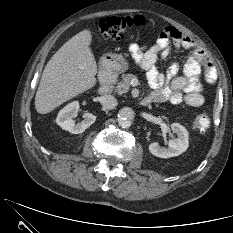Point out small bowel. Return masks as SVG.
<instances>
[{"instance_id": "obj_1", "label": "small bowel", "mask_w": 233, "mask_h": 233, "mask_svg": "<svg viewBox=\"0 0 233 233\" xmlns=\"http://www.w3.org/2000/svg\"><path fill=\"white\" fill-rule=\"evenodd\" d=\"M171 41L176 47L191 51L180 76H177L179 65L176 62L172 63L165 73L156 67L159 56L167 57L170 54ZM129 51L136 63L146 70L149 85L153 89L148 97L150 102L185 103L191 107H200L205 99L199 76L202 73L208 83H213L217 78L216 70L206 52L193 39L171 26L160 32L154 44L140 46L131 43Z\"/></svg>"}]
</instances>
